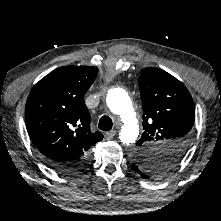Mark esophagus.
Wrapping results in <instances>:
<instances>
[{
  "label": "esophagus",
  "mask_w": 221,
  "mask_h": 221,
  "mask_svg": "<svg viewBox=\"0 0 221 221\" xmlns=\"http://www.w3.org/2000/svg\"><path fill=\"white\" fill-rule=\"evenodd\" d=\"M116 134V131L115 130H111V131H108L105 133L106 137L108 138H113Z\"/></svg>",
  "instance_id": "esophagus-1"
}]
</instances>
